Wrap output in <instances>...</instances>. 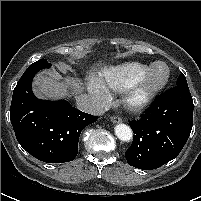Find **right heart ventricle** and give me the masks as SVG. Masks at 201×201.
<instances>
[{
	"mask_svg": "<svg viewBox=\"0 0 201 201\" xmlns=\"http://www.w3.org/2000/svg\"><path fill=\"white\" fill-rule=\"evenodd\" d=\"M150 65L131 61L104 69L97 79L107 89L122 92L135 79L142 75Z\"/></svg>",
	"mask_w": 201,
	"mask_h": 201,
	"instance_id": "e07e8e85",
	"label": "right heart ventricle"
}]
</instances>
